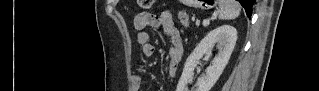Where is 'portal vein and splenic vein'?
I'll list each match as a JSON object with an SVG mask.
<instances>
[{
    "label": "portal vein and splenic vein",
    "instance_id": "1",
    "mask_svg": "<svg viewBox=\"0 0 319 91\" xmlns=\"http://www.w3.org/2000/svg\"><path fill=\"white\" fill-rule=\"evenodd\" d=\"M208 24H209V21H208V20H204V21H203V25H204V26H207Z\"/></svg>",
    "mask_w": 319,
    "mask_h": 91
}]
</instances>
